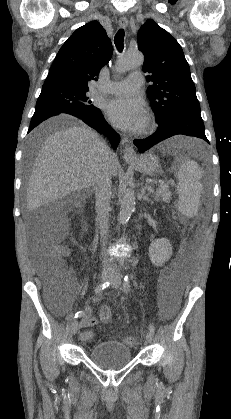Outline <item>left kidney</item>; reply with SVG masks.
<instances>
[{
	"label": "left kidney",
	"instance_id": "obj_1",
	"mask_svg": "<svg viewBox=\"0 0 231 419\" xmlns=\"http://www.w3.org/2000/svg\"><path fill=\"white\" fill-rule=\"evenodd\" d=\"M172 256V245L168 239H155L149 247V257L154 266L161 267Z\"/></svg>",
	"mask_w": 231,
	"mask_h": 419
}]
</instances>
